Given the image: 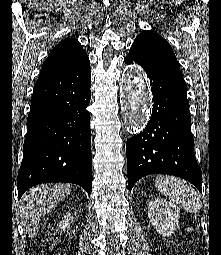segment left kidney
Segmentation results:
<instances>
[{"mask_svg":"<svg viewBox=\"0 0 221 255\" xmlns=\"http://www.w3.org/2000/svg\"><path fill=\"white\" fill-rule=\"evenodd\" d=\"M179 215L178 207L165 199L155 198L149 202V221L156 231L163 236H169L173 230H176Z\"/></svg>","mask_w":221,"mask_h":255,"instance_id":"left-kidney-1","label":"left kidney"}]
</instances>
